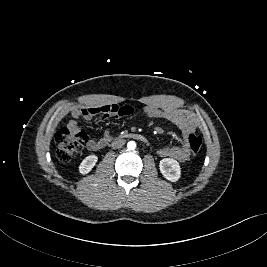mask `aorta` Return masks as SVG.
I'll return each mask as SVG.
<instances>
[{"instance_id":"762f6f07","label":"aorta","mask_w":267,"mask_h":267,"mask_svg":"<svg viewBox=\"0 0 267 267\" xmlns=\"http://www.w3.org/2000/svg\"><path fill=\"white\" fill-rule=\"evenodd\" d=\"M127 148H128V150H135V148H136V143H135L134 141H130V142H128V144H127Z\"/></svg>"}]
</instances>
